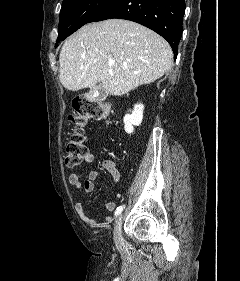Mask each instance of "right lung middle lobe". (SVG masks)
I'll return each mask as SVG.
<instances>
[{
  "label": "right lung middle lobe",
  "instance_id": "obj_1",
  "mask_svg": "<svg viewBox=\"0 0 240 281\" xmlns=\"http://www.w3.org/2000/svg\"><path fill=\"white\" fill-rule=\"evenodd\" d=\"M116 0H63L57 42L93 22Z\"/></svg>",
  "mask_w": 240,
  "mask_h": 281
}]
</instances>
